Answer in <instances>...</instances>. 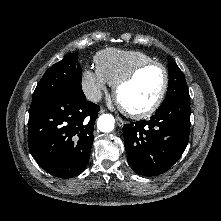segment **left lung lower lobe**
Returning a JSON list of instances; mask_svg holds the SVG:
<instances>
[{"instance_id": "left-lung-lower-lobe-1", "label": "left lung lower lobe", "mask_w": 221, "mask_h": 221, "mask_svg": "<svg viewBox=\"0 0 221 221\" xmlns=\"http://www.w3.org/2000/svg\"><path fill=\"white\" fill-rule=\"evenodd\" d=\"M190 131L189 93L161 104L150 120L123 127L128 164L139 175L166 172L184 152Z\"/></svg>"}]
</instances>
